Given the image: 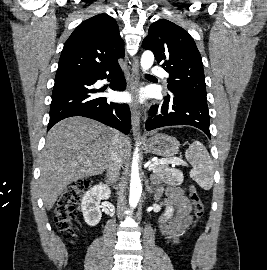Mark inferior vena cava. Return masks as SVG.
<instances>
[{
    "mask_svg": "<svg viewBox=\"0 0 267 270\" xmlns=\"http://www.w3.org/2000/svg\"><path fill=\"white\" fill-rule=\"evenodd\" d=\"M120 135L121 134L116 131V135L112 143L110 158L107 166V179L109 183H116L120 175V168L122 164L121 145L119 141Z\"/></svg>",
    "mask_w": 267,
    "mask_h": 270,
    "instance_id": "1",
    "label": "inferior vena cava"
}]
</instances>
